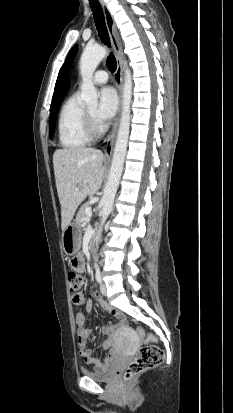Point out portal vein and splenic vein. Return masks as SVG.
Returning a JSON list of instances; mask_svg holds the SVG:
<instances>
[{
    "label": "portal vein and splenic vein",
    "mask_w": 233,
    "mask_h": 413,
    "mask_svg": "<svg viewBox=\"0 0 233 413\" xmlns=\"http://www.w3.org/2000/svg\"><path fill=\"white\" fill-rule=\"evenodd\" d=\"M83 183H85V182H83ZM80 186H81V185H79V186L76 188L77 191L79 190ZM86 215H87L86 220H89L90 217L92 216V208H91V207H88V208L86 209Z\"/></svg>",
    "instance_id": "1"
}]
</instances>
